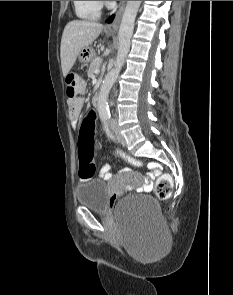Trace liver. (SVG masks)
Returning <instances> with one entry per match:
<instances>
[{
  "instance_id": "1",
  "label": "liver",
  "mask_w": 233,
  "mask_h": 295,
  "mask_svg": "<svg viewBox=\"0 0 233 295\" xmlns=\"http://www.w3.org/2000/svg\"><path fill=\"white\" fill-rule=\"evenodd\" d=\"M103 25L98 22L73 20L64 28L60 57L63 76L66 77L73 67L79 52L92 44L99 36Z\"/></svg>"
}]
</instances>
